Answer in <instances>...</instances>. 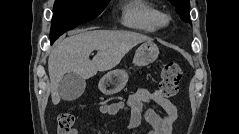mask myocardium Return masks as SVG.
I'll return each instance as SVG.
<instances>
[{"label":"myocardium","instance_id":"1","mask_svg":"<svg viewBox=\"0 0 239 134\" xmlns=\"http://www.w3.org/2000/svg\"><path fill=\"white\" fill-rule=\"evenodd\" d=\"M158 25L159 26H165L169 22V18L166 14L164 13H159L158 19H157Z\"/></svg>","mask_w":239,"mask_h":134}]
</instances>
